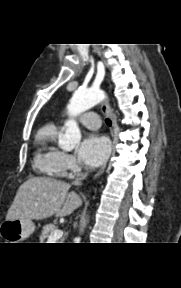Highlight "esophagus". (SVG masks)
<instances>
[{"label": "esophagus", "mask_w": 181, "mask_h": 288, "mask_svg": "<svg viewBox=\"0 0 181 288\" xmlns=\"http://www.w3.org/2000/svg\"><path fill=\"white\" fill-rule=\"evenodd\" d=\"M101 110L102 112L108 116L111 120H112V124H113V128L116 126L117 124V120H116V116L112 111V108L110 106V104L108 102H104L101 106ZM105 165L96 173V175L94 176V179L98 178L100 175H102V173L105 170Z\"/></svg>", "instance_id": "1"}]
</instances>
